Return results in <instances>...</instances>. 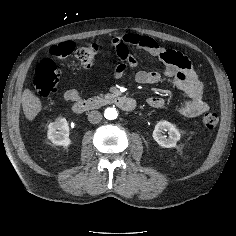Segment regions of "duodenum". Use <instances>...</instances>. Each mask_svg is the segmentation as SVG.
<instances>
[{
	"label": "duodenum",
	"instance_id": "410a0bca",
	"mask_svg": "<svg viewBox=\"0 0 236 236\" xmlns=\"http://www.w3.org/2000/svg\"><path fill=\"white\" fill-rule=\"evenodd\" d=\"M107 102H111L127 112L133 111L136 107V101L133 98L124 95H117L108 99L102 97L81 99L73 104L72 110L75 113H83L85 111L97 109Z\"/></svg>",
	"mask_w": 236,
	"mask_h": 236
}]
</instances>
